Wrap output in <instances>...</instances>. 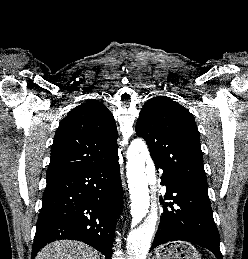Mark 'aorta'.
Wrapping results in <instances>:
<instances>
[{
	"mask_svg": "<svg viewBox=\"0 0 248 259\" xmlns=\"http://www.w3.org/2000/svg\"><path fill=\"white\" fill-rule=\"evenodd\" d=\"M126 175L135 227L127 244V259H146L158 220L157 205L152 203L149 185L155 186V167L142 139L131 142L127 151Z\"/></svg>",
	"mask_w": 248,
	"mask_h": 259,
	"instance_id": "obj_1",
	"label": "aorta"
}]
</instances>
